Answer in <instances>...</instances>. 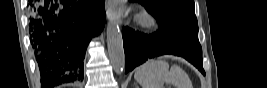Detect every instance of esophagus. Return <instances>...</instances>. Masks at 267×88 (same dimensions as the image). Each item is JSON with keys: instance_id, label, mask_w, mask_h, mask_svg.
I'll return each mask as SVG.
<instances>
[{"instance_id": "1", "label": "esophagus", "mask_w": 267, "mask_h": 88, "mask_svg": "<svg viewBox=\"0 0 267 88\" xmlns=\"http://www.w3.org/2000/svg\"><path fill=\"white\" fill-rule=\"evenodd\" d=\"M108 11H109V10L107 9V11H106V13H107V18H108L109 20H112V19H113V17H112V15H111V14H109V15H108Z\"/></svg>"}]
</instances>
